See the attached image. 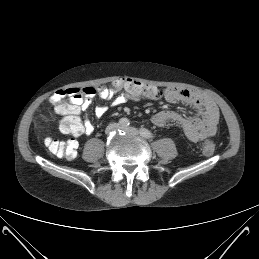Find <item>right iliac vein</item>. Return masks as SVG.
Listing matches in <instances>:
<instances>
[{
	"label": "right iliac vein",
	"instance_id": "right-iliac-vein-1",
	"mask_svg": "<svg viewBox=\"0 0 259 259\" xmlns=\"http://www.w3.org/2000/svg\"><path fill=\"white\" fill-rule=\"evenodd\" d=\"M118 128H120L119 124L112 123V124L107 126L106 133L109 134V133H111L112 131H114V130H116Z\"/></svg>",
	"mask_w": 259,
	"mask_h": 259
}]
</instances>
